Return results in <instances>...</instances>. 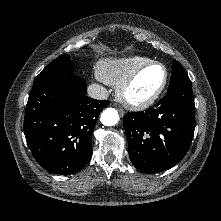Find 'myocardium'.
<instances>
[{
    "instance_id": "1",
    "label": "myocardium",
    "mask_w": 221,
    "mask_h": 221,
    "mask_svg": "<svg viewBox=\"0 0 221 221\" xmlns=\"http://www.w3.org/2000/svg\"><path fill=\"white\" fill-rule=\"evenodd\" d=\"M152 66H160L163 69V80L160 86L151 94L145 97H136L132 93L133 87L142 73ZM168 70L160 62L150 61L147 64L136 69L120 86L118 89V98L120 102L131 109H145L153 105L165 90L168 83Z\"/></svg>"
}]
</instances>
